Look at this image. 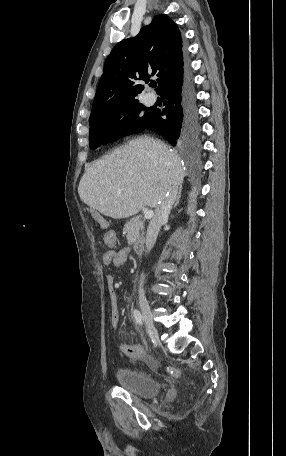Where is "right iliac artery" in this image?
I'll list each match as a JSON object with an SVG mask.
<instances>
[{"instance_id": "1", "label": "right iliac artery", "mask_w": 286, "mask_h": 456, "mask_svg": "<svg viewBox=\"0 0 286 456\" xmlns=\"http://www.w3.org/2000/svg\"><path fill=\"white\" fill-rule=\"evenodd\" d=\"M133 316H134L135 321H136L140 326H142V325H143V317H142L141 313H140L137 309H135V310L133 311Z\"/></svg>"}]
</instances>
